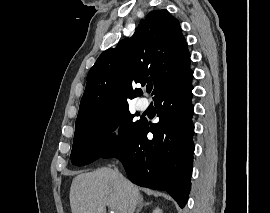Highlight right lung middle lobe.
Listing matches in <instances>:
<instances>
[{"instance_id":"dd1d6c3e","label":"right lung middle lobe","mask_w":270,"mask_h":213,"mask_svg":"<svg viewBox=\"0 0 270 213\" xmlns=\"http://www.w3.org/2000/svg\"><path fill=\"white\" fill-rule=\"evenodd\" d=\"M128 105L99 113L76 122L71 161L78 166L87 165L112 151L139 125ZM118 126V140L110 133Z\"/></svg>"}]
</instances>
